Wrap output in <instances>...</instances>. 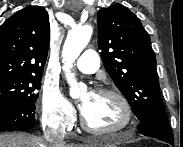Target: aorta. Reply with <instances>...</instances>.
Here are the masks:
<instances>
[{
	"label": "aorta",
	"mask_w": 183,
	"mask_h": 147,
	"mask_svg": "<svg viewBox=\"0 0 183 147\" xmlns=\"http://www.w3.org/2000/svg\"><path fill=\"white\" fill-rule=\"evenodd\" d=\"M93 28L90 25L77 26L71 30L68 34L63 50H62V62L63 70L66 74L67 82L70 86V96L72 98H78L81 91L86 88L85 84L78 83L74 73L70 71L74 61L78 58L85 46L90 41Z\"/></svg>",
	"instance_id": "762f6f07"
}]
</instances>
